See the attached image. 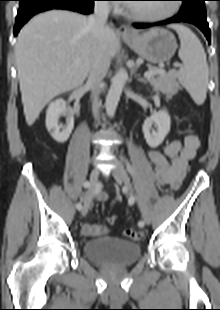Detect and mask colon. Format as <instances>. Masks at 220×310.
Listing matches in <instances>:
<instances>
[{"label": "colon", "instance_id": "colon-1", "mask_svg": "<svg viewBox=\"0 0 220 310\" xmlns=\"http://www.w3.org/2000/svg\"><path fill=\"white\" fill-rule=\"evenodd\" d=\"M117 218L115 215H112V216H109L108 218V222L110 224H114L116 222ZM124 236L131 239V240H134V241H138L140 239H142L143 237V233L140 232V231H137L135 229H126L124 232H123Z\"/></svg>", "mask_w": 220, "mask_h": 310}]
</instances>
